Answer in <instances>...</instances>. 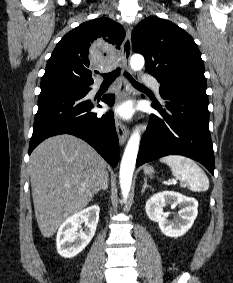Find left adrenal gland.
I'll return each mask as SVG.
<instances>
[{
    "label": "left adrenal gland",
    "mask_w": 233,
    "mask_h": 283,
    "mask_svg": "<svg viewBox=\"0 0 233 283\" xmlns=\"http://www.w3.org/2000/svg\"><path fill=\"white\" fill-rule=\"evenodd\" d=\"M146 188L151 189L152 187L147 184V178H144V185H143V188H142V193L145 192Z\"/></svg>",
    "instance_id": "1"
}]
</instances>
